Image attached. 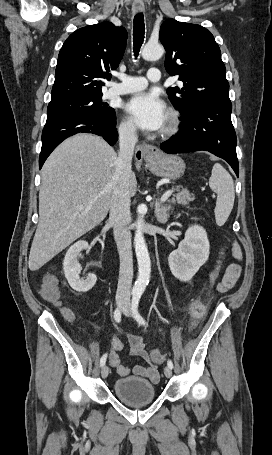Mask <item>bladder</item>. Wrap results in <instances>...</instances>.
<instances>
[{
    "label": "bladder",
    "instance_id": "1",
    "mask_svg": "<svg viewBox=\"0 0 272 455\" xmlns=\"http://www.w3.org/2000/svg\"><path fill=\"white\" fill-rule=\"evenodd\" d=\"M113 389L116 397L130 406L150 404L156 397L155 386L150 381L138 376L117 379Z\"/></svg>",
    "mask_w": 272,
    "mask_h": 455
}]
</instances>
